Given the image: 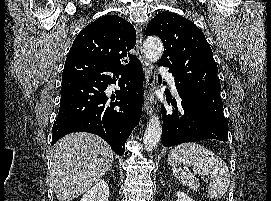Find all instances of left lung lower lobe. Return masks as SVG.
<instances>
[{
	"label": "left lung lower lobe",
	"instance_id": "obj_1",
	"mask_svg": "<svg viewBox=\"0 0 271 201\" xmlns=\"http://www.w3.org/2000/svg\"><path fill=\"white\" fill-rule=\"evenodd\" d=\"M160 66V65H159ZM177 96L167 98L168 104L172 105V111L161 107L163 128L162 144L166 147L178 145L184 142H195L207 139L226 141L224 137L215 135L208 126L203 110L191 99L179 92L177 82Z\"/></svg>",
	"mask_w": 271,
	"mask_h": 201
}]
</instances>
